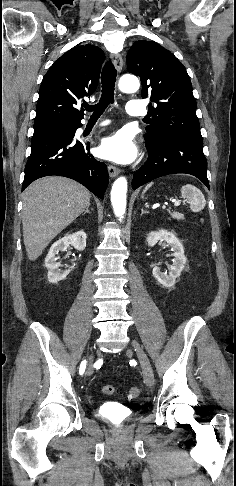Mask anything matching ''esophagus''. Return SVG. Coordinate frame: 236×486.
<instances>
[{
    "instance_id": "obj_1",
    "label": "esophagus",
    "mask_w": 236,
    "mask_h": 486,
    "mask_svg": "<svg viewBox=\"0 0 236 486\" xmlns=\"http://www.w3.org/2000/svg\"><path fill=\"white\" fill-rule=\"evenodd\" d=\"M112 60L114 63V66L118 72L122 71L123 68V59L122 55L120 53L112 55ZM108 172L111 177H116L117 175L120 174V169L113 166V165H108Z\"/></svg>"
}]
</instances>
